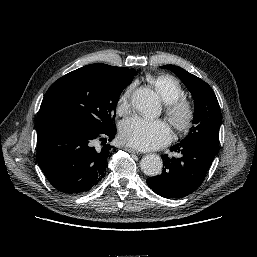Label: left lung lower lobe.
Segmentation results:
<instances>
[{"label": "left lung lower lobe", "instance_id": "1", "mask_svg": "<svg viewBox=\"0 0 257 257\" xmlns=\"http://www.w3.org/2000/svg\"><path fill=\"white\" fill-rule=\"evenodd\" d=\"M177 157L162 155L163 171L146 180L156 194L165 198H183L203 182L218 147L205 142H180L170 148Z\"/></svg>", "mask_w": 257, "mask_h": 257}]
</instances>
